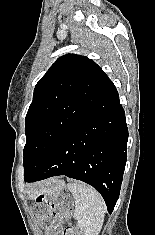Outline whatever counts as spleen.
<instances>
[{
	"label": "spleen",
	"mask_w": 155,
	"mask_h": 235,
	"mask_svg": "<svg viewBox=\"0 0 155 235\" xmlns=\"http://www.w3.org/2000/svg\"><path fill=\"white\" fill-rule=\"evenodd\" d=\"M68 190L75 199L73 216L84 235H98L102 229L106 205L102 196L91 186L71 182Z\"/></svg>",
	"instance_id": "3e777b00"
}]
</instances>
